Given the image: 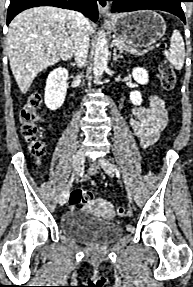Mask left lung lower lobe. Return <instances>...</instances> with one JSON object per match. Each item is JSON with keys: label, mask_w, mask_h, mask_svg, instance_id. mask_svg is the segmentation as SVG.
<instances>
[{"label": "left lung lower lobe", "mask_w": 193, "mask_h": 287, "mask_svg": "<svg viewBox=\"0 0 193 287\" xmlns=\"http://www.w3.org/2000/svg\"><path fill=\"white\" fill-rule=\"evenodd\" d=\"M112 1V12H131L136 10H162L178 16L184 23L185 16L181 8L184 0H108Z\"/></svg>", "instance_id": "left-lung-lower-lobe-1"}]
</instances>
